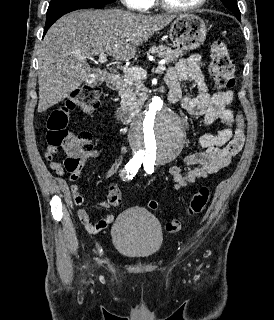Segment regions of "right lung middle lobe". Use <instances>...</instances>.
Masks as SVG:
<instances>
[{"mask_svg": "<svg viewBox=\"0 0 274 320\" xmlns=\"http://www.w3.org/2000/svg\"><path fill=\"white\" fill-rule=\"evenodd\" d=\"M115 1L116 0H51L47 10V15H51L55 12H58L67 8L88 6V5H95V4H109Z\"/></svg>", "mask_w": 274, "mask_h": 320, "instance_id": "obj_1", "label": "right lung middle lobe"}]
</instances>
